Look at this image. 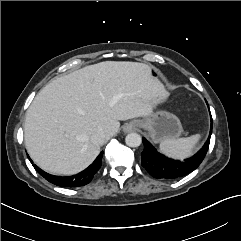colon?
<instances>
[{
    "mask_svg": "<svg viewBox=\"0 0 241 241\" xmlns=\"http://www.w3.org/2000/svg\"><path fill=\"white\" fill-rule=\"evenodd\" d=\"M146 76L150 80H159L163 76V71L155 62H150L146 66Z\"/></svg>",
    "mask_w": 241,
    "mask_h": 241,
    "instance_id": "obj_1",
    "label": "colon"
}]
</instances>
